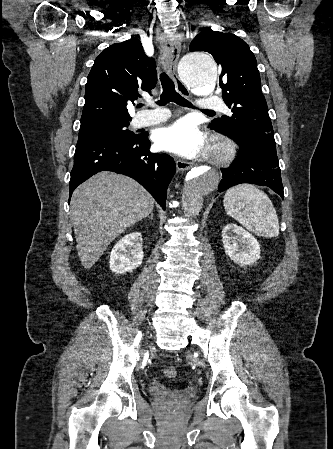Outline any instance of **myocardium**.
Here are the masks:
<instances>
[{"mask_svg":"<svg viewBox=\"0 0 333 449\" xmlns=\"http://www.w3.org/2000/svg\"><path fill=\"white\" fill-rule=\"evenodd\" d=\"M236 154L235 145L228 140L217 141L211 149L210 160L216 165L230 163Z\"/></svg>","mask_w":333,"mask_h":449,"instance_id":"myocardium-1","label":"myocardium"}]
</instances>
